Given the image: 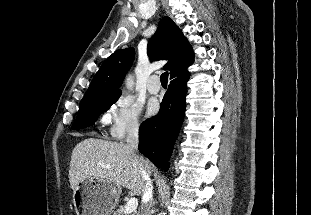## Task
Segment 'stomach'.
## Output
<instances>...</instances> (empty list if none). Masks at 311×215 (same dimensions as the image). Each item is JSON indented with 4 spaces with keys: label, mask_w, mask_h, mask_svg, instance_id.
Returning a JSON list of instances; mask_svg holds the SVG:
<instances>
[{
    "label": "stomach",
    "mask_w": 311,
    "mask_h": 215,
    "mask_svg": "<svg viewBox=\"0 0 311 215\" xmlns=\"http://www.w3.org/2000/svg\"><path fill=\"white\" fill-rule=\"evenodd\" d=\"M121 188L116 184L94 178L80 181L73 192V204L78 215H111Z\"/></svg>",
    "instance_id": "0dacf381"
}]
</instances>
